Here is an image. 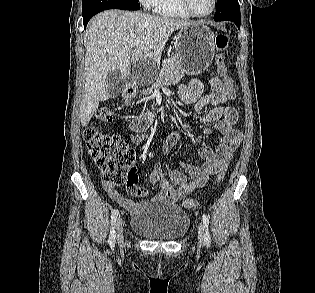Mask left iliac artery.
Masks as SVG:
<instances>
[{
	"label": "left iliac artery",
	"mask_w": 315,
	"mask_h": 293,
	"mask_svg": "<svg viewBox=\"0 0 315 293\" xmlns=\"http://www.w3.org/2000/svg\"><path fill=\"white\" fill-rule=\"evenodd\" d=\"M202 220H203V224L206 228L205 230V235H204V242L205 245L207 247H209L211 245V238H210V234H209V230H208V226H209V217L206 214L202 215Z\"/></svg>",
	"instance_id": "44dca946"
}]
</instances>
